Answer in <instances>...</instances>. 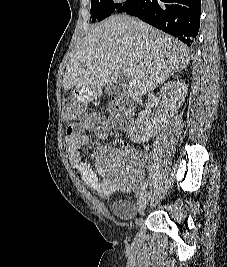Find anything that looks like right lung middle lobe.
<instances>
[{"label": "right lung middle lobe", "instance_id": "1", "mask_svg": "<svg viewBox=\"0 0 227 267\" xmlns=\"http://www.w3.org/2000/svg\"><path fill=\"white\" fill-rule=\"evenodd\" d=\"M122 3H114L113 0H91V17L92 21H101L116 12Z\"/></svg>", "mask_w": 227, "mask_h": 267}]
</instances>
